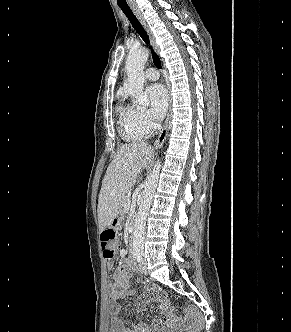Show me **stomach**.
<instances>
[{
	"label": "stomach",
	"instance_id": "1",
	"mask_svg": "<svg viewBox=\"0 0 291 332\" xmlns=\"http://www.w3.org/2000/svg\"><path fill=\"white\" fill-rule=\"evenodd\" d=\"M122 223V214L121 212L117 215V217L112 221L111 226L115 229H119Z\"/></svg>",
	"mask_w": 291,
	"mask_h": 332
}]
</instances>
